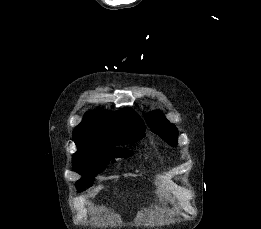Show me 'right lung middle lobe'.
I'll return each mask as SVG.
<instances>
[{"label":"right lung middle lobe","mask_w":261,"mask_h":229,"mask_svg":"<svg viewBox=\"0 0 261 229\" xmlns=\"http://www.w3.org/2000/svg\"><path fill=\"white\" fill-rule=\"evenodd\" d=\"M145 126L127 125L118 129V134L122 137L125 144H131L145 136ZM132 153L125 149L113 147H95L85 146L78 147V151L73 155V168L83 177L76 182L78 192L90 187L96 174L103 171L111 158H127Z\"/></svg>","instance_id":"obj_1"}]
</instances>
